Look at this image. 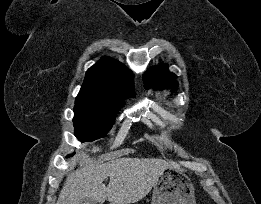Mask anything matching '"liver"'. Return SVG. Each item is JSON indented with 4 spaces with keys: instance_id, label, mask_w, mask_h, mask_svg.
Masks as SVG:
<instances>
[{
    "instance_id": "obj_1",
    "label": "liver",
    "mask_w": 261,
    "mask_h": 204,
    "mask_svg": "<svg viewBox=\"0 0 261 204\" xmlns=\"http://www.w3.org/2000/svg\"><path fill=\"white\" fill-rule=\"evenodd\" d=\"M83 160L87 156H81ZM170 165L162 159L123 157L107 163L87 165L70 173L56 204H79L93 199L110 204H130L143 199ZM110 177L108 186L103 183Z\"/></svg>"
}]
</instances>
